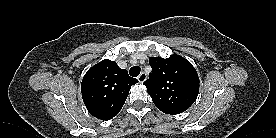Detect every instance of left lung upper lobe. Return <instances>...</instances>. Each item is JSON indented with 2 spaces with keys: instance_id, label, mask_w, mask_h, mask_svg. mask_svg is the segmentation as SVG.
<instances>
[{
  "instance_id": "1",
  "label": "left lung upper lobe",
  "mask_w": 276,
  "mask_h": 138,
  "mask_svg": "<svg viewBox=\"0 0 276 138\" xmlns=\"http://www.w3.org/2000/svg\"><path fill=\"white\" fill-rule=\"evenodd\" d=\"M152 73L144 82L155 106L166 114L187 110L199 92V77L193 65L179 55L150 57Z\"/></svg>"
}]
</instances>
